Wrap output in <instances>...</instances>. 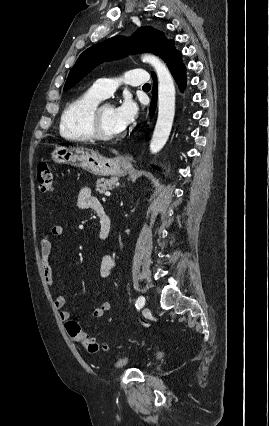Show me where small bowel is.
<instances>
[{
    "instance_id": "obj_1",
    "label": "small bowel",
    "mask_w": 269,
    "mask_h": 426,
    "mask_svg": "<svg viewBox=\"0 0 269 426\" xmlns=\"http://www.w3.org/2000/svg\"><path fill=\"white\" fill-rule=\"evenodd\" d=\"M78 207L81 209H92L97 212V209L102 207L100 202L91 193L88 187H84L80 190L77 200ZM64 228L60 224H56L51 227L49 233L45 235L40 242V258L44 273V278L48 286H52L54 283V274L52 265L50 263V257L52 253V239H60L63 237ZM116 265V257L112 254L105 255L100 263V274L103 278H108L111 274L112 269ZM65 297L62 294H58L54 298V306L58 311L59 318L66 322L72 318H79L73 316L69 311L65 310ZM111 309V303L109 301H103L93 311L94 318H102Z\"/></svg>"
}]
</instances>
